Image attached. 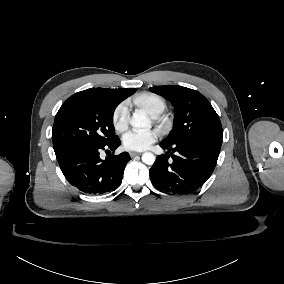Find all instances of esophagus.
I'll use <instances>...</instances> for the list:
<instances>
[{"mask_svg": "<svg viewBox=\"0 0 284 284\" xmlns=\"http://www.w3.org/2000/svg\"><path fill=\"white\" fill-rule=\"evenodd\" d=\"M142 154V152H130V156L131 157H135V156H137V155H141Z\"/></svg>", "mask_w": 284, "mask_h": 284, "instance_id": "obj_1", "label": "esophagus"}]
</instances>
